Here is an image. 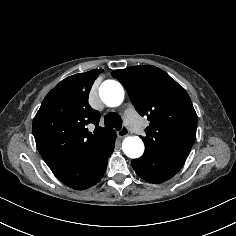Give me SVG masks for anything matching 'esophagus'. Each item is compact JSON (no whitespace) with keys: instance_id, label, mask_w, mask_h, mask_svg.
<instances>
[{"instance_id":"esophagus-1","label":"esophagus","mask_w":236,"mask_h":236,"mask_svg":"<svg viewBox=\"0 0 236 236\" xmlns=\"http://www.w3.org/2000/svg\"><path fill=\"white\" fill-rule=\"evenodd\" d=\"M129 134L128 128L126 126H123L119 131H118V136L120 138L125 137Z\"/></svg>"}]
</instances>
